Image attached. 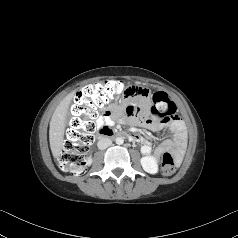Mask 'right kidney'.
I'll use <instances>...</instances> for the list:
<instances>
[{
    "label": "right kidney",
    "instance_id": "right-kidney-1",
    "mask_svg": "<svg viewBox=\"0 0 238 238\" xmlns=\"http://www.w3.org/2000/svg\"><path fill=\"white\" fill-rule=\"evenodd\" d=\"M92 164V158L90 157V158H88V160H87V165H91Z\"/></svg>",
    "mask_w": 238,
    "mask_h": 238
}]
</instances>
